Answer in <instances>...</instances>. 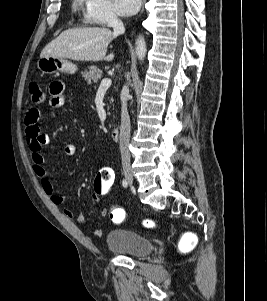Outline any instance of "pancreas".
Here are the masks:
<instances>
[{"mask_svg": "<svg viewBox=\"0 0 267 301\" xmlns=\"http://www.w3.org/2000/svg\"><path fill=\"white\" fill-rule=\"evenodd\" d=\"M83 77L87 80L88 84L92 85L97 83L102 77V71L96 66L88 67V70L82 73ZM112 101V99H111ZM109 109V107H108Z\"/></svg>", "mask_w": 267, "mask_h": 301, "instance_id": "1", "label": "pancreas"}]
</instances>
